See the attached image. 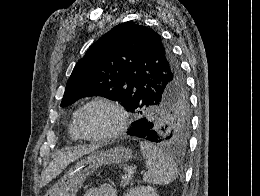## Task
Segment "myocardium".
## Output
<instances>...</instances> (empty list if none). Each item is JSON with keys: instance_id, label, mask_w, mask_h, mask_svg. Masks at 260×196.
I'll list each match as a JSON object with an SVG mask.
<instances>
[{"instance_id": "myocardium-1", "label": "myocardium", "mask_w": 260, "mask_h": 196, "mask_svg": "<svg viewBox=\"0 0 260 196\" xmlns=\"http://www.w3.org/2000/svg\"><path fill=\"white\" fill-rule=\"evenodd\" d=\"M94 103H104V104L109 105L116 111L118 118H119V123L115 129H113L112 131H110L104 135H100V136L86 135L83 132V130L81 129L80 123H79L81 113L88 106H90L91 104H94ZM73 123H74L75 129L79 133V136L81 139H83L85 141L93 142V143H104V142H107V141L114 139V138L118 137L119 135H121L127 129V126L129 124V118H128V114H127L126 110L117 100H115L111 97H108V96H95V97L89 99L88 101H86L82 106H80L77 109V111L74 114Z\"/></svg>"}]
</instances>
